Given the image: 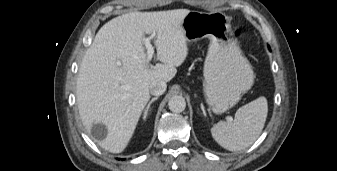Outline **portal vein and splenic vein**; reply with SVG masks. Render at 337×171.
<instances>
[{
  "mask_svg": "<svg viewBox=\"0 0 337 171\" xmlns=\"http://www.w3.org/2000/svg\"><path fill=\"white\" fill-rule=\"evenodd\" d=\"M155 33L151 36L154 37ZM150 39L151 38H144V45L147 49V61L150 62V60L152 59L153 55H154V48L152 46V44L150 43Z\"/></svg>",
  "mask_w": 337,
  "mask_h": 171,
  "instance_id": "18ae733b",
  "label": "portal vein and splenic vein"
}]
</instances>
